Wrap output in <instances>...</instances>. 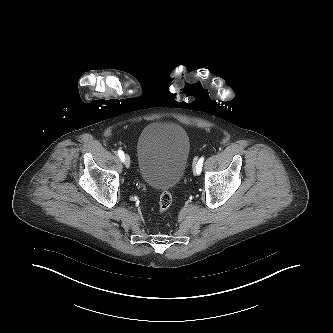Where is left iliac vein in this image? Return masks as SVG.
Instances as JSON below:
<instances>
[{"instance_id":"left-iliac-vein-1","label":"left iliac vein","mask_w":333,"mask_h":333,"mask_svg":"<svg viewBox=\"0 0 333 333\" xmlns=\"http://www.w3.org/2000/svg\"><path fill=\"white\" fill-rule=\"evenodd\" d=\"M194 173L197 174V173H196V166H195V163H194Z\"/></svg>"}]
</instances>
